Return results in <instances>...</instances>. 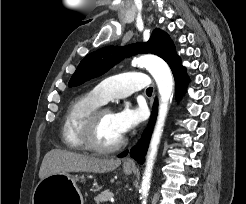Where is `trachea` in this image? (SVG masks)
<instances>
[{"instance_id": "3493384b", "label": "trachea", "mask_w": 246, "mask_h": 204, "mask_svg": "<svg viewBox=\"0 0 246 204\" xmlns=\"http://www.w3.org/2000/svg\"><path fill=\"white\" fill-rule=\"evenodd\" d=\"M153 92V88L152 87H149L147 90H146V93L147 94H152Z\"/></svg>"}]
</instances>
